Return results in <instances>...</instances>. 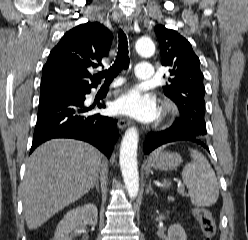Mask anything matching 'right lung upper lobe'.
<instances>
[{
  "label": "right lung upper lobe",
  "instance_id": "obj_1",
  "mask_svg": "<svg viewBox=\"0 0 248 240\" xmlns=\"http://www.w3.org/2000/svg\"><path fill=\"white\" fill-rule=\"evenodd\" d=\"M112 34L98 22H87L66 32L43 67L40 100L84 93L100 80L89 72L101 64ZM89 80L92 82L90 83Z\"/></svg>",
  "mask_w": 248,
  "mask_h": 240
}]
</instances>
